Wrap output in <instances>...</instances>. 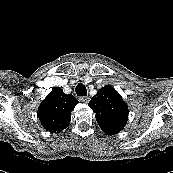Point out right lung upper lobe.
I'll return each mask as SVG.
<instances>
[{
    "label": "right lung upper lobe",
    "instance_id": "1",
    "mask_svg": "<svg viewBox=\"0 0 173 173\" xmlns=\"http://www.w3.org/2000/svg\"><path fill=\"white\" fill-rule=\"evenodd\" d=\"M78 101L72 94H65L54 87L38 108V118L46 130L59 133L69 126L71 111Z\"/></svg>",
    "mask_w": 173,
    "mask_h": 173
}]
</instances>
